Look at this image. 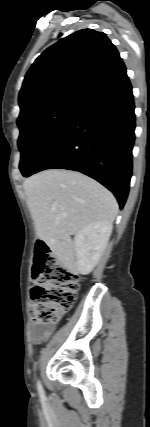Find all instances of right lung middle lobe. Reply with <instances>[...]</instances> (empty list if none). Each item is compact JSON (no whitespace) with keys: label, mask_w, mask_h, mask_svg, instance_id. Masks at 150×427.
Returning <instances> with one entry per match:
<instances>
[{"label":"right lung middle lobe","mask_w":150,"mask_h":427,"mask_svg":"<svg viewBox=\"0 0 150 427\" xmlns=\"http://www.w3.org/2000/svg\"><path fill=\"white\" fill-rule=\"evenodd\" d=\"M79 106L55 104L31 110L17 119L20 129L18 147L23 176L33 174L44 156L59 139Z\"/></svg>","instance_id":"right-lung-middle-lobe-1"}]
</instances>
